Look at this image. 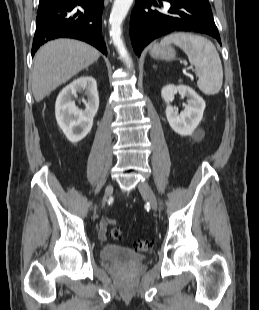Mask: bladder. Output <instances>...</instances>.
<instances>
[{
  "label": "bladder",
  "instance_id": "31cf9c89",
  "mask_svg": "<svg viewBox=\"0 0 259 310\" xmlns=\"http://www.w3.org/2000/svg\"><path fill=\"white\" fill-rule=\"evenodd\" d=\"M99 255L104 261L118 264H132L141 262L145 259L143 254L136 253L129 248L114 244L103 246Z\"/></svg>",
  "mask_w": 259,
  "mask_h": 310
}]
</instances>
